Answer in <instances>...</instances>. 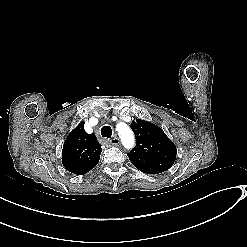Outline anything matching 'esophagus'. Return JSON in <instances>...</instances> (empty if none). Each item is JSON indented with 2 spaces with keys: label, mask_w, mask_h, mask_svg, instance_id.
I'll return each mask as SVG.
<instances>
[{
  "label": "esophagus",
  "mask_w": 247,
  "mask_h": 247,
  "mask_svg": "<svg viewBox=\"0 0 247 247\" xmlns=\"http://www.w3.org/2000/svg\"><path fill=\"white\" fill-rule=\"evenodd\" d=\"M110 143L112 144V145H119L120 144V139L119 138H112L111 140H110Z\"/></svg>",
  "instance_id": "obj_1"
}]
</instances>
